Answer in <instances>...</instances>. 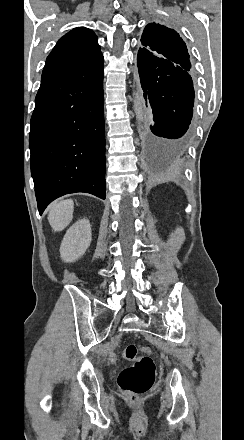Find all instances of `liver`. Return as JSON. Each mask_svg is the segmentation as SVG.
<instances>
[{"instance_id": "6515ba94", "label": "liver", "mask_w": 244, "mask_h": 440, "mask_svg": "<svg viewBox=\"0 0 244 440\" xmlns=\"http://www.w3.org/2000/svg\"><path fill=\"white\" fill-rule=\"evenodd\" d=\"M74 202L73 200H62L53 204L48 220L54 232H62L66 226H69L73 218Z\"/></svg>"}]
</instances>
